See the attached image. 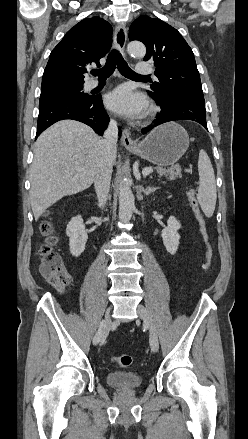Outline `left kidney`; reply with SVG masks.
<instances>
[{
	"label": "left kidney",
	"instance_id": "left-kidney-1",
	"mask_svg": "<svg viewBox=\"0 0 248 439\" xmlns=\"http://www.w3.org/2000/svg\"><path fill=\"white\" fill-rule=\"evenodd\" d=\"M180 228V222L174 216H171L167 220V227L164 228L161 232L163 244L167 252H169L171 255H174L178 250L180 240L178 230Z\"/></svg>",
	"mask_w": 248,
	"mask_h": 439
}]
</instances>
